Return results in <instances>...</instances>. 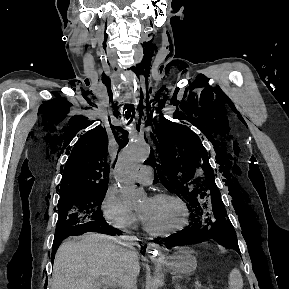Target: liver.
Wrapping results in <instances>:
<instances>
[{"instance_id":"obj_1","label":"liver","mask_w":289,"mask_h":289,"mask_svg":"<svg viewBox=\"0 0 289 289\" xmlns=\"http://www.w3.org/2000/svg\"><path fill=\"white\" fill-rule=\"evenodd\" d=\"M140 272L138 259L129 262V250L113 238L89 233L80 241L66 240L58 248L51 289H100L104 280L122 286L125 276Z\"/></svg>"}]
</instances>
